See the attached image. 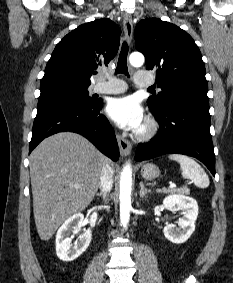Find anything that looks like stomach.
<instances>
[{
    "mask_svg": "<svg viewBox=\"0 0 233 283\" xmlns=\"http://www.w3.org/2000/svg\"><path fill=\"white\" fill-rule=\"evenodd\" d=\"M159 175H160L159 168L152 163L145 164L141 169V176L145 180H154Z\"/></svg>",
    "mask_w": 233,
    "mask_h": 283,
    "instance_id": "stomach-1",
    "label": "stomach"
}]
</instances>
